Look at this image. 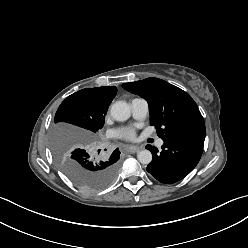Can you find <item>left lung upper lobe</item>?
Here are the masks:
<instances>
[{
  "mask_svg": "<svg viewBox=\"0 0 248 248\" xmlns=\"http://www.w3.org/2000/svg\"><path fill=\"white\" fill-rule=\"evenodd\" d=\"M122 87L147 100L150 123L163 141L183 131L205 127L198 106L190 95L164 80L146 78L122 84Z\"/></svg>",
  "mask_w": 248,
  "mask_h": 248,
  "instance_id": "left-lung-upper-lobe-1",
  "label": "left lung upper lobe"
}]
</instances>
